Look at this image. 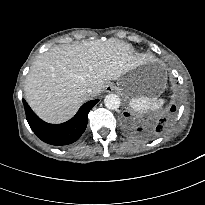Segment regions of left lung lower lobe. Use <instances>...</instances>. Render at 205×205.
<instances>
[{
	"label": "left lung lower lobe",
	"instance_id": "obj_1",
	"mask_svg": "<svg viewBox=\"0 0 205 205\" xmlns=\"http://www.w3.org/2000/svg\"><path fill=\"white\" fill-rule=\"evenodd\" d=\"M175 110V106H172L171 111ZM125 116H129L125 113ZM170 117H163L155 121L148 129H145L143 132L141 128H138V131L141 132L142 135L147 137H157L161 135L169 125Z\"/></svg>",
	"mask_w": 205,
	"mask_h": 205
}]
</instances>
